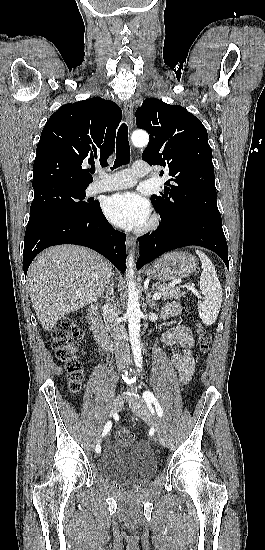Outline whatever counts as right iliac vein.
Returning <instances> with one entry per match:
<instances>
[{
    "label": "right iliac vein",
    "mask_w": 265,
    "mask_h": 550,
    "mask_svg": "<svg viewBox=\"0 0 265 550\" xmlns=\"http://www.w3.org/2000/svg\"><path fill=\"white\" fill-rule=\"evenodd\" d=\"M122 406H123V398L120 395H118L111 404L110 414L114 415L118 413L122 409Z\"/></svg>",
    "instance_id": "1"
}]
</instances>
